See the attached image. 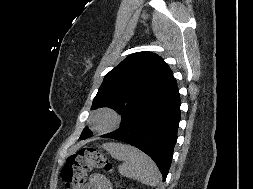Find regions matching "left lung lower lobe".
<instances>
[{"label":"left lung lower lobe","mask_w":253,"mask_h":189,"mask_svg":"<svg viewBox=\"0 0 253 189\" xmlns=\"http://www.w3.org/2000/svg\"><path fill=\"white\" fill-rule=\"evenodd\" d=\"M180 121V95L177 83L162 97L143 108L114 132L102 135L131 144L148 154L165 181L177 140ZM92 136L82 134L80 139Z\"/></svg>","instance_id":"obj_1"}]
</instances>
